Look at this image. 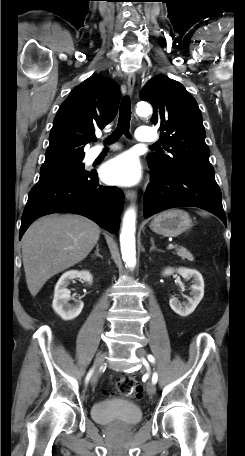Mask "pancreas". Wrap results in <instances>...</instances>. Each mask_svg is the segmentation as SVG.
Segmentation results:
<instances>
[{
	"label": "pancreas",
	"instance_id": "cf45deb5",
	"mask_svg": "<svg viewBox=\"0 0 245 456\" xmlns=\"http://www.w3.org/2000/svg\"><path fill=\"white\" fill-rule=\"evenodd\" d=\"M176 254L181 257L182 260H189V261H193L194 260V257L193 255L187 250L185 249L184 247H180L176 250Z\"/></svg>",
	"mask_w": 245,
	"mask_h": 456
}]
</instances>
